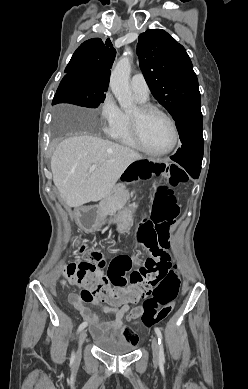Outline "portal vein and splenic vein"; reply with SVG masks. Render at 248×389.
<instances>
[{"label": "portal vein and splenic vein", "mask_w": 248, "mask_h": 389, "mask_svg": "<svg viewBox=\"0 0 248 389\" xmlns=\"http://www.w3.org/2000/svg\"><path fill=\"white\" fill-rule=\"evenodd\" d=\"M97 168V165L94 164L89 168L88 174H91L95 169Z\"/></svg>", "instance_id": "obj_1"}]
</instances>
